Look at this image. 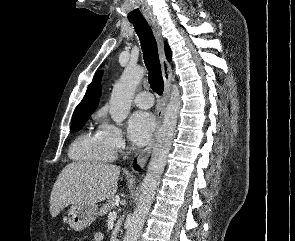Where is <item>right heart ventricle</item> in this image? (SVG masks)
I'll list each match as a JSON object with an SVG mask.
<instances>
[{
  "label": "right heart ventricle",
  "mask_w": 295,
  "mask_h": 241,
  "mask_svg": "<svg viewBox=\"0 0 295 241\" xmlns=\"http://www.w3.org/2000/svg\"><path fill=\"white\" fill-rule=\"evenodd\" d=\"M69 154L73 160L86 163L108 162L114 157V152L101 128L79 135L73 142Z\"/></svg>",
  "instance_id": "1"
}]
</instances>
